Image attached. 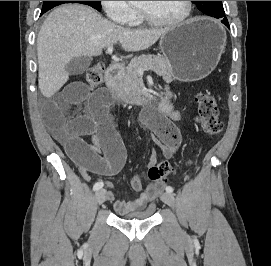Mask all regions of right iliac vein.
Instances as JSON below:
<instances>
[{"label":"right iliac vein","mask_w":271,"mask_h":266,"mask_svg":"<svg viewBox=\"0 0 271 266\" xmlns=\"http://www.w3.org/2000/svg\"><path fill=\"white\" fill-rule=\"evenodd\" d=\"M105 194H106V190L105 189H99L96 192L95 199H96V203L98 205L102 204L105 201Z\"/></svg>","instance_id":"63e3f726"}]
</instances>
